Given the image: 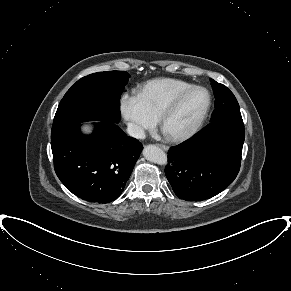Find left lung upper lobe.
I'll return each mask as SVG.
<instances>
[{"mask_svg":"<svg viewBox=\"0 0 291 291\" xmlns=\"http://www.w3.org/2000/svg\"><path fill=\"white\" fill-rule=\"evenodd\" d=\"M211 85L215 96V110L211 122L220 118L242 119L239 104L233 93L213 79H211Z\"/></svg>","mask_w":291,"mask_h":291,"instance_id":"1","label":"left lung upper lobe"}]
</instances>
